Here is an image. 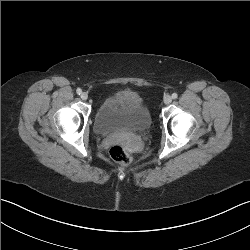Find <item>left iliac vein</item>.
<instances>
[{
    "mask_svg": "<svg viewBox=\"0 0 250 250\" xmlns=\"http://www.w3.org/2000/svg\"><path fill=\"white\" fill-rule=\"evenodd\" d=\"M171 102H172V97L169 96V95H166V96L164 97V103H165V104H170Z\"/></svg>",
    "mask_w": 250,
    "mask_h": 250,
    "instance_id": "obj_1",
    "label": "left iliac vein"
}]
</instances>
